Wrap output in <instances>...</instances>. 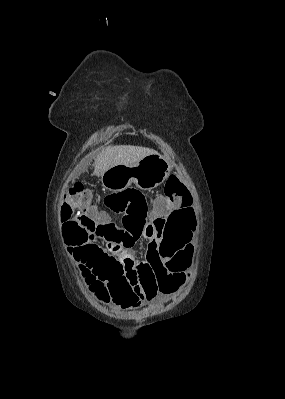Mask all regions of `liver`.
Listing matches in <instances>:
<instances>
[{
    "mask_svg": "<svg viewBox=\"0 0 285 399\" xmlns=\"http://www.w3.org/2000/svg\"><path fill=\"white\" fill-rule=\"evenodd\" d=\"M157 152L139 146L115 145L106 147L99 153L94 162V174L101 176L109 168L116 165H134L147 155Z\"/></svg>",
    "mask_w": 285,
    "mask_h": 399,
    "instance_id": "6515ba94",
    "label": "liver"
}]
</instances>
